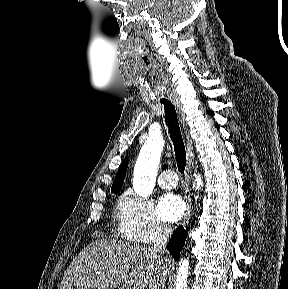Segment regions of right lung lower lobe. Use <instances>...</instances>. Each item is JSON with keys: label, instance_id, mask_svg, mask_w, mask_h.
<instances>
[{"label": "right lung lower lobe", "instance_id": "1", "mask_svg": "<svg viewBox=\"0 0 288 289\" xmlns=\"http://www.w3.org/2000/svg\"><path fill=\"white\" fill-rule=\"evenodd\" d=\"M187 238V231L183 228H177L168 243V249L175 260H179L180 251L182 250Z\"/></svg>", "mask_w": 288, "mask_h": 289}]
</instances>
